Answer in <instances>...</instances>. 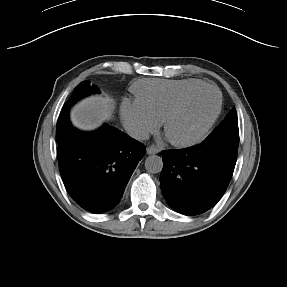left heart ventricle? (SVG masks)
<instances>
[{
    "label": "left heart ventricle",
    "instance_id": "1",
    "mask_svg": "<svg viewBox=\"0 0 287 287\" xmlns=\"http://www.w3.org/2000/svg\"><path fill=\"white\" fill-rule=\"evenodd\" d=\"M215 106L216 95L212 90L204 89L193 94L170 124L169 137L184 140L196 135L212 115Z\"/></svg>",
    "mask_w": 287,
    "mask_h": 287
}]
</instances>
